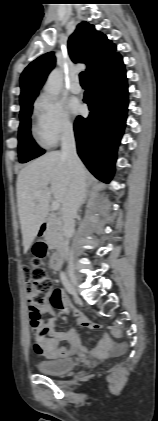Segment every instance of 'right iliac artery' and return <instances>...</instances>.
<instances>
[{"label": "right iliac artery", "mask_w": 158, "mask_h": 421, "mask_svg": "<svg viewBox=\"0 0 158 421\" xmlns=\"http://www.w3.org/2000/svg\"><path fill=\"white\" fill-rule=\"evenodd\" d=\"M60 278H61L62 284L64 285V287L68 291V293L73 294L74 288L72 287L71 283L69 282V280H68V278H67V276L65 275L64 272H61Z\"/></svg>", "instance_id": "obj_1"}]
</instances>
